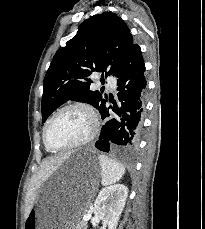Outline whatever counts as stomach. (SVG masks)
I'll return each mask as SVG.
<instances>
[{"label": "stomach", "mask_w": 205, "mask_h": 229, "mask_svg": "<svg viewBox=\"0 0 205 229\" xmlns=\"http://www.w3.org/2000/svg\"><path fill=\"white\" fill-rule=\"evenodd\" d=\"M57 183L39 196L24 229H77L101 175L93 151L73 152L62 166Z\"/></svg>", "instance_id": "0dacf381"}]
</instances>
